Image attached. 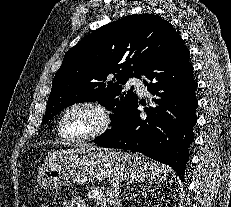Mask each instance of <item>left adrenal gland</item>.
I'll return each mask as SVG.
<instances>
[{
	"mask_svg": "<svg viewBox=\"0 0 231 207\" xmlns=\"http://www.w3.org/2000/svg\"><path fill=\"white\" fill-rule=\"evenodd\" d=\"M121 201H122V200H119V201L117 202V207H120V206H121Z\"/></svg>",
	"mask_w": 231,
	"mask_h": 207,
	"instance_id": "1",
	"label": "left adrenal gland"
}]
</instances>
